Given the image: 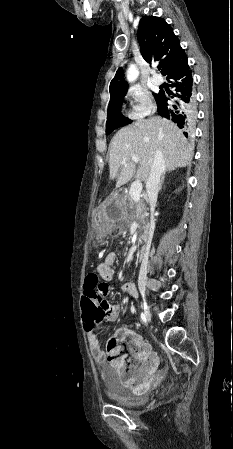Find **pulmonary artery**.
<instances>
[{
  "mask_svg": "<svg viewBox=\"0 0 233 449\" xmlns=\"http://www.w3.org/2000/svg\"><path fill=\"white\" fill-rule=\"evenodd\" d=\"M152 82L156 85H161L163 83V78L159 74L154 73L152 75Z\"/></svg>",
  "mask_w": 233,
  "mask_h": 449,
  "instance_id": "1",
  "label": "pulmonary artery"
}]
</instances>
